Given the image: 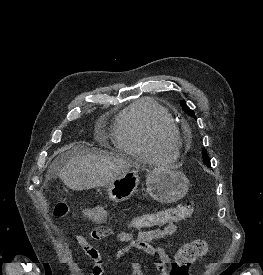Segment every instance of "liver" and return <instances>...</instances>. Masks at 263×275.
Segmentation results:
<instances>
[{"label":"liver","mask_w":263,"mask_h":275,"mask_svg":"<svg viewBox=\"0 0 263 275\" xmlns=\"http://www.w3.org/2000/svg\"><path fill=\"white\" fill-rule=\"evenodd\" d=\"M135 165L121 157L87 151L72 156L58 174L69 189L81 191L106 186Z\"/></svg>","instance_id":"liver-1"}]
</instances>
